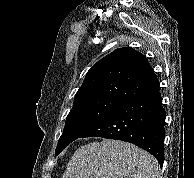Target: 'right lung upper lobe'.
<instances>
[{"mask_svg":"<svg viewBox=\"0 0 194 178\" xmlns=\"http://www.w3.org/2000/svg\"><path fill=\"white\" fill-rule=\"evenodd\" d=\"M157 89L159 81L146 57L123 47L91 67L74 101L106 98L127 102Z\"/></svg>","mask_w":194,"mask_h":178,"instance_id":"1","label":"right lung upper lobe"}]
</instances>
